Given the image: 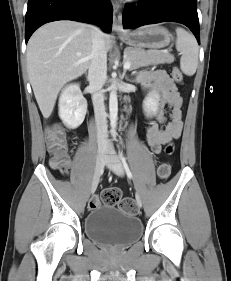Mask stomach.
<instances>
[{"instance_id":"1","label":"stomach","mask_w":231,"mask_h":281,"mask_svg":"<svg viewBox=\"0 0 231 281\" xmlns=\"http://www.w3.org/2000/svg\"><path fill=\"white\" fill-rule=\"evenodd\" d=\"M172 35L159 25H147L121 35L127 45L134 48L160 49L169 45Z\"/></svg>"}]
</instances>
